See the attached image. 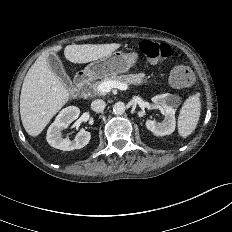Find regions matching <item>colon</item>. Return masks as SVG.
<instances>
[{
	"label": "colon",
	"mask_w": 232,
	"mask_h": 232,
	"mask_svg": "<svg viewBox=\"0 0 232 232\" xmlns=\"http://www.w3.org/2000/svg\"><path fill=\"white\" fill-rule=\"evenodd\" d=\"M141 52L151 61L158 62L171 56V47L166 43L144 40L140 43ZM194 76L184 65L175 66L170 73V82L175 87H189L193 84Z\"/></svg>",
	"instance_id": "5ec220e1"
}]
</instances>
